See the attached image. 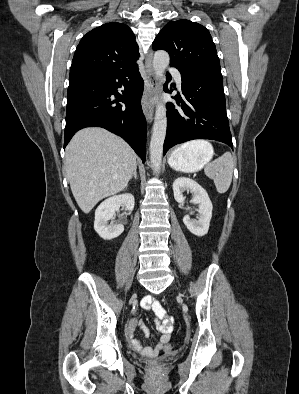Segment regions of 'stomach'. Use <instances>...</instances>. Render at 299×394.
Listing matches in <instances>:
<instances>
[{"label":"stomach","mask_w":299,"mask_h":394,"mask_svg":"<svg viewBox=\"0 0 299 394\" xmlns=\"http://www.w3.org/2000/svg\"><path fill=\"white\" fill-rule=\"evenodd\" d=\"M212 156V147L187 145L174 150L168 158V163L177 171L192 173L200 170Z\"/></svg>","instance_id":"0dacf381"}]
</instances>
